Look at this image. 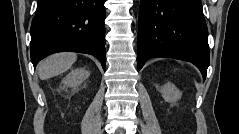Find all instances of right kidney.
Instances as JSON below:
<instances>
[{"label":"right kidney","mask_w":239,"mask_h":134,"mask_svg":"<svg viewBox=\"0 0 239 134\" xmlns=\"http://www.w3.org/2000/svg\"><path fill=\"white\" fill-rule=\"evenodd\" d=\"M90 76V72L84 68H77L74 70H71L69 74L62 80L63 87L61 86V89H64L66 87L71 88H78L88 77Z\"/></svg>","instance_id":"1"}]
</instances>
